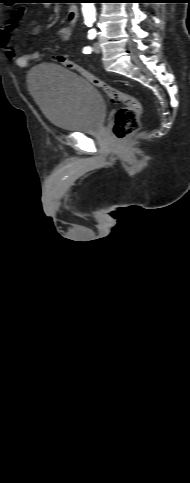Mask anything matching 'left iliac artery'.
Here are the masks:
<instances>
[{
    "label": "left iliac artery",
    "instance_id": "1",
    "mask_svg": "<svg viewBox=\"0 0 190 483\" xmlns=\"http://www.w3.org/2000/svg\"><path fill=\"white\" fill-rule=\"evenodd\" d=\"M96 36V31L94 29L92 30H89V33H88V38L89 39H94ZM92 51L91 47L87 46L83 49V53L84 54H90Z\"/></svg>",
    "mask_w": 190,
    "mask_h": 483
}]
</instances>
